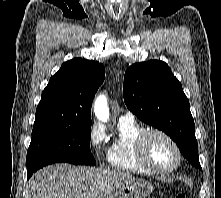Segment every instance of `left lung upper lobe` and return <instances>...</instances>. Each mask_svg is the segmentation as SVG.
<instances>
[{
  "label": "left lung upper lobe",
  "mask_w": 221,
  "mask_h": 198,
  "mask_svg": "<svg viewBox=\"0 0 221 198\" xmlns=\"http://www.w3.org/2000/svg\"><path fill=\"white\" fill-rule=\"evenodd\" d=\"M123 97L130 111L169 135L183 156L202 170L189 101L165 62L151 60L130 66L124 75Z\"/></svg>",
  "instance_id": "obj_1"
}]
</instances>
